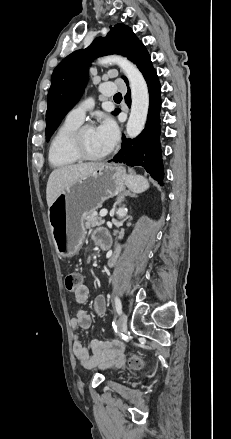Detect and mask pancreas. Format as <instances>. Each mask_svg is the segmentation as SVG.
Here are the masks:
<instances>
[{"mask_svg":"<svg viewBox=\"0 0 231 439\" xmlns=\"http://www.w3.org/2000/svg\"><path fill=\"white\" fill-rule=\"evenodd\" d=\"M104 223L100 217L97 216L96 212H92L91 214L85 216V228L91 229L95 226H100Z\"/></svg>","mask_w":231,"mask_h":439,"instance_id":"cf45deb5","label":"pancreas"}]
</instances>
